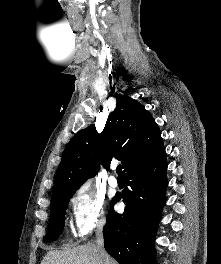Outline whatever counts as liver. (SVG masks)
<instances>
[{"instance_id": "liver-1", "label": "liver", "mask_w": 221, "mask_h": 264, "mask_svg": "<svg viewBox=\"0 0 221 264\" xmlns=\"http://www.w3.org/2000/svg\"><path fill=\"white\" fill-rule=\"evenodd\" d=\"M107 255V254H106ZM108 264H118L107 255ZM41 264H105L99 257L97 246L87 244L66 251H49Z\"/></svg>"}]
</instances>
